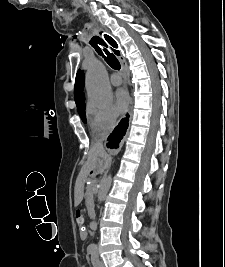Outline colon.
I'll return each mask as SVG.
<instances>
[{"mask_svg": "<svg viewBox=\"0 0 225 267\" xmlns=\"http://www.w3.org/2000/svg\"><path fill=\"white\" fill-rule=\"evenodd\" d=\"M75 220H76V223H77V225L79 227H82L83 226L84 217H83V214L80 211H76V213H75Z\"/></svg>", "mask_w": 225, "mask_h": 267, "instance_id": "obj_1", "label": "colon"}]
</instances>
